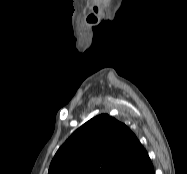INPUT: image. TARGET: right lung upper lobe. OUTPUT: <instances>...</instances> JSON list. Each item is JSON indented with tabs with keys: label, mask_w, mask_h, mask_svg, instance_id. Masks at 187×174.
<instances>
[{
	"label": "right lung upper lobe",
	"mask_w": 187,
	"mask_h": 174,
	"mask_svg": "<svg viewBox=\"0 0 187 174\" xmlns=\"http://www.w3.org/2000/svg\"><path fill=\"white\" fill-rule=\"evenodd\" d=\"M150 158L135 134L107 114L92 118L58 149L48 174H150Z\"/></svg>",
	"instance_id": "obj_1"
}]
</instances>
